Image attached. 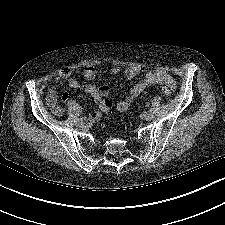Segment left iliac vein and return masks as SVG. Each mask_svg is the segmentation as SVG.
<instances>
[{
    "mask_svg": "<svg viewBox=\"0 0 225 225\" xmlns=\"http://www.w3.org/2000/svg\"><path fill=\"white\" fill-rule=\"evenodd\" d=\"M153 118H154V114H153L152 111H149L148 113H146V115H145V117H144V119H145L146 121H150V120H152Z\"/></svg>",
    "mask_w": 225,
    "mask_h": 225,
    "instance_id": "1",
    "label": "left iliac vein"
}]
</instances>
